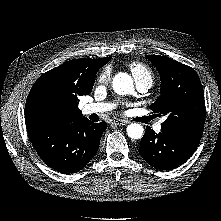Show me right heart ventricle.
<instances>
[{
	"instance_id": "right-heart-ventricle-1",
	"label": "right heart ventricle",
	"mask_w": 221,
	"mask_h": 221,
	"mask_svg": "<svg viewBox=\"0 0 221 221\" xmlns=\"http://www.w3.org/2000/svg\"><path fill=\"white\" fill-rule=\"evenodd\" d=\"M129 69L135 79V81L146 80L153 82V73L152 71L143 63L140 62H131L129 64Z\"/></svg>"
}]
</instances>
